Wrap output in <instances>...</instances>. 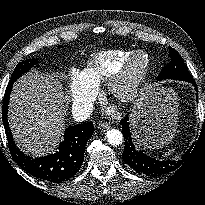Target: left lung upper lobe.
<instances>
[{"label":"left lung upper lobe","instance_id":"5c2ea615","mask_svg":"<svg viewBox=\"0 0 205 205\" xmlns=\"http://www.w3.org/2000/svg\"><path fill=\"white\" fill-rule=\"evenodd\" d=\"M170 62L161 70L158 75V80L164 79H177V80H189L193 77L189 73L185 63L178 54V52L169 47Z\"/></svg>","mask_w":205,"mask_h":205}]
</instances>
